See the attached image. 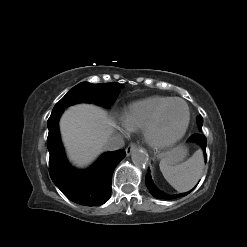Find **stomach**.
Segmentation results:
<instances>
[{"mask_svg":"<svg viewBox=\"0 0 247 247\" xmlns=\"http://www.w3.org/2000/svg\"><path fill=\"white\" fill-rule=\"evenodd\" d=\"M187 153L188 150L184 145H178L165 153L164 156L169 158L172 164H176L182 161L186 157Z\"/></svg>","mask_w":247,"mask_h":247,"instance_id":"0dacf381","label":"stomach"}]
</instances>
